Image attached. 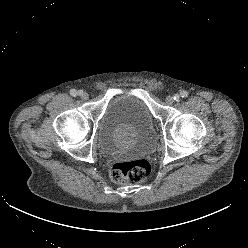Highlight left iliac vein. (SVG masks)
Masks as SVG:
<instances>
[{"mask_svg":"<svg viewBox=\"0 0 248 248\" xmlns=\"http://www.w3.org/2000/svg\"><path fill=\"white\" fill-rule=\"evenodd\" d=\"M165 101H166V103L168 105H172L174 103V97L173 96H168V97H166Z\"/></svg>","mask_w":248,"mask_h":248,"instance_id":"1","label":"left iliac vein"}]
</instances>
